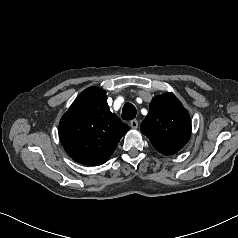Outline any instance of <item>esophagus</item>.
Returning <instances> with one entry per match:
<instances>
[{"label": "esophagus", "mask_w": 238, "mask_h": 238, "mask_svg": "<svg viewBox=\"0 0 238 238\" xmlns=\"http://www.w3.org/2000/svg\"><path fill=\"white\" fill-rule=\"evenodd\" d=\"M130 126L133 129H137L138 128V121L136 119H133L130 121Z\"/></svg>", "instance_id": "esophagus-1"}]
</instances>
